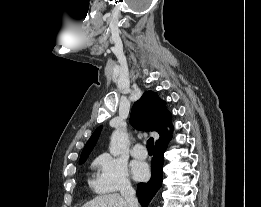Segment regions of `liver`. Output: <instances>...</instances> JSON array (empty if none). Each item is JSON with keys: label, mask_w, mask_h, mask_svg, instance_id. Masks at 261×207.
<instances>
[{"label": "liver", "mask_w": 261, "mask_h": 207, "mask_svg": "<svg viewBox=\"0 0 261 207\" xmlns=\"http://www.w3.org/2000/svg\"><path fill=\"white\" fill-rule=\"evenodd\" d=\"M82 207H129L128 203L118 193L97 196Z\"/></svg>", "instance_id": "6515ba94"}]
</instances>
